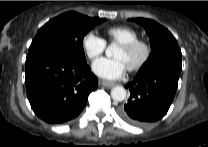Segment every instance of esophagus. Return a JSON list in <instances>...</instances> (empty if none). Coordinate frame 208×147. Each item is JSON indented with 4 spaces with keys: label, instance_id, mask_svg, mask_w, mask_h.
I'll return each instance as SVG.
<instances>
[{
    "label": "esophagus",
    "instance_id": "esophagus-1",
    "mask_svg": "<svg viewBox=\"0 0 208 147\" xmlns=\"http://www.w3.org/2000/svg\"><path fill=\"white\" fill-rule=\"evenodd\" d=\"M100 84L106 88H112L115 86L114 82H109V81H105V80H101Z\"/></svg>",
    "mask_w": 208,
    "mask_h": 147
}]
</instances>
